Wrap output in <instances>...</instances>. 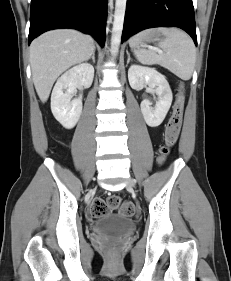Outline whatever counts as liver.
Here are the masks:
<instances>
[{
    "label": "liver",
    "mask_w": 231,
    "mask_h": 281,
    "mask_svg": "<svg viewBox=\"0 0 231 281\" xmlns=\"http://www.w3.org/2000/svg\"><path fill=\"white\" fill-rule=\"evenodd\" d=\"M94 50L92 37L71 29L49 31L34 39L30 45V65L40 100L46 102L59 75L87 61Z\"/></svg>",
    "instance_id": "1"
}]
</instances>
